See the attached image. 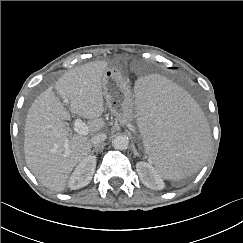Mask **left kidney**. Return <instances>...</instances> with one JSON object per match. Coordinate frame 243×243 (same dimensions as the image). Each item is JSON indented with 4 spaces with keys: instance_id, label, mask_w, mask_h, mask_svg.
Wrapping results in <instances>:
<instances>
[{
    "instance_id": "5707ae66",
    "label": "left kidney",
    "mask_w": 243,
    "mask_h": 243,
    "mask_svg": "<svg viewBox=\"0 0 243 243\" xmlns=\"http://www.w3.org/2000/svg\"><path fill=\"white\" fill-rule=\"evenodd\" d=\"M136 170L142 183L148 188L161 190L164 187L163 180L150 163L138 162Z\"/></svg>"
}]
</instances>
